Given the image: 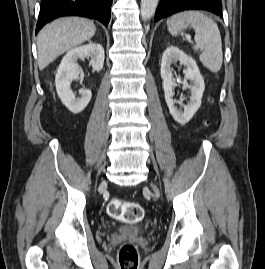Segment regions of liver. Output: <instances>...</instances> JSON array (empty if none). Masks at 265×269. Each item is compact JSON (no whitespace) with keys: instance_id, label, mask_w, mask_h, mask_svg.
<instances>
[{"instance_id":"1","label":"liver","mask_w":265,"mask_h":269,"mask_svg":"<svg viewBox=\"0 0 265 269\" xmlns=\"http://www.w3.org/2000/svg\"><path fill=\"white\" fill-rule=\"evenodd\" d=\"M95 24L80 17L61 18L46 25L37 36L38 65L43 70L66 51L89 40Z\"/></svg>"}]
</instances>
